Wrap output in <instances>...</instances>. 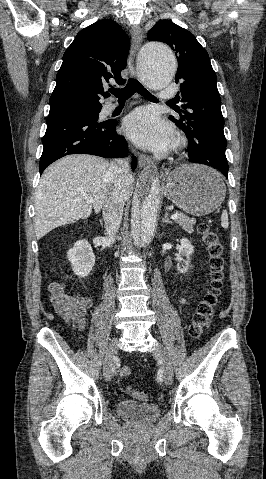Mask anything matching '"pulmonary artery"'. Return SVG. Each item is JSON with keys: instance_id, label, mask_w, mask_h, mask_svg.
Returning a JSON list of instances; mask_svg holds the SVG:
<instances>
[{"instance_id": "1", "label": "pulmonary artery", "mask_w": 266, "mask_h": 479, "mask_svg": "<svg viewBox=\"0 0 266 479\" xmlns=\"http://www.w3.org/2000/svg\"><path fill=\"white\" fill-rule=\"evenodd\" d=\"M176 89L171 86L164 87L160 92V97L162 99H171L174 97ZM116 108L115 104H109L107 106L108 111H112Z\"/></svg>"}]
</instances>
